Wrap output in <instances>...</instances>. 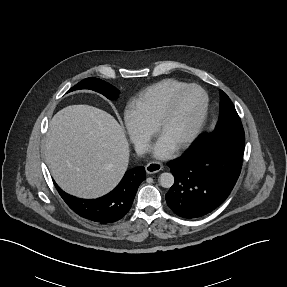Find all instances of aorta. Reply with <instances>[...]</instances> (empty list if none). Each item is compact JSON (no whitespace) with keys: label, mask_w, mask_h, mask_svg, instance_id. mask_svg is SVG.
Segmentation results:
<instances>
[{"label":"aorta","mask_w":287,"mask_h":287,"mask_svg":"<svg viewBox=\"0 0 287 287\" xmlns=\"http://www.w3.org/2000/svg\"><path fill=\"white\" fill-rule=\"evenodd\" d=\"M159 184L164 188H170L174 184V176L168 172L160 174Z\"/></svg>","instance_id":"aorta-1"}]
</instances>
